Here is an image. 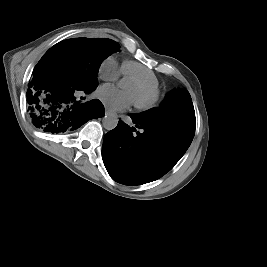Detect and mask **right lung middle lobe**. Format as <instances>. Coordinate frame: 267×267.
<instances>
[{
    "instance_id": "dd1d6c3e",
    "label": "right lung middle lobe",
    "mask_w": 267,
    "mask_h": 267,
    "mask_svg": "<svg viewBox=\"0 0 267 267\" xmlns=\"http://www.w3.org/2000/svg\"><path fill=\"white\" fill-rule=\"evenodd\" d=\"M117 51L119 44L111 39L74 38L51 47L39 64L58 70L77 88L96 89L100 64Z\"/></svg>"
}]
</instances>
